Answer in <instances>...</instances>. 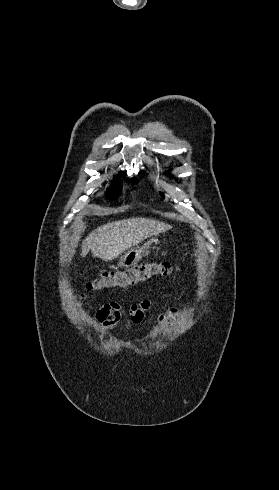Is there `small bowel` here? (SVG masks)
Segmentation results:
<instances>
[{
    "label": "small bowel",
    "mask_w": 279,
    "mask_h": 490,
    "mask_svg": "<svg viewBox=\"0 0 279 490\" xmlns=\"http://www.w3.org/2000/svg\"><path fill=\"white\" fill-rule=\"evenodd\" d=\"M152 303L148 299H144L138 303H134L130 307L131 321L138 323L144 319L145 312L149 310ZM123 305L119 301H111L95 313V320L105 329L113 327L122 316ZM179 315L177 309L172 308L161 313L158 316V322L162 326H169L171 322Z\"/></svg>",
    "instance_id": "1"
}]
</instances>
